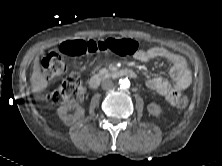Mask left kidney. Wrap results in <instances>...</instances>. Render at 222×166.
Returning <instances> with one entry per match:
<instances>
[{
	"label": "left kidney",
	"instance_id": "obj_1",
	"mask_svg": "<svg viewBox=\"0 0 222 166\" xmlns=\"http://www.w3.org/2000/svg\"><path fill=\"white\" fill-rule=\"evenodd\" d=\"M147 110L149 112V114L153 115V116H159L162 112V109L159 105H157L156 103H150L147 106Z\"/></svg>",
	"mask_w": 222,
	"mask_h": 166
}]
</instances>
